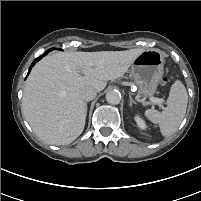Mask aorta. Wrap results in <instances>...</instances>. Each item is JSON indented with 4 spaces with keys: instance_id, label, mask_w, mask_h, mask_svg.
<instances>
[{
    "instance_id": "aorta-1",
    "label": "aorta",
    "mask_w": 201,
    "mask_h": 201,
    "mask_svg": "<svg viewBox=\"0 0 201 201\" xmlns=\"http://www.w3.org/2000/svg\"><path fill=\"white\" fill-rule=\"evenodd\" d=\"M106 100L109 104L116 105L121 101V94L118 91L111 90L106 93Z\"/></svg>"
}]
</instances>
